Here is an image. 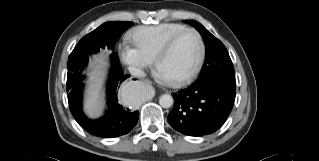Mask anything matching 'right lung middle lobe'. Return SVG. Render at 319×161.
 <instances>
[{"label":"right lung middle lobe","mask_w":319,"mask_h":161,"mask_svg":"<svg viewBox=\"0 0 319 161\" xmlns=\"http://www.w3.org/2000/svg\"><path fill=\"white\" fill-rule=\"evenodd\" d=\"M132 22H106L91 33L84 36L69 55L67 67V90L75 87L84 76L83 69L86 67L89 56L99 51L101 47L114 48L121 34L132 25ZM113 63L118 61L116 53L111 54Z\"/></svg>","instance_id":"dd1d6c3e"}]
</instances>
